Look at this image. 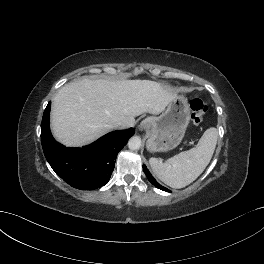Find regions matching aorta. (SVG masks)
I'll list each match as a JSON object with an SVG mask.
<instances>
[{
  "label": "aorta",
  "mask_w": 264,
  "mask_h": 264,
  "mask_svg": "<svg viewBox=\"0 0 264 264\" xmlns=\"http://www.w3.org/2000/svg\"><path fill=\"white\" fill-rule=\"evenodd\" d=\"M128 147L131 150H138L141 147V138L139 136H133L128 141Z\"/></svg>",
  "instance_id": "aorta-1"
}]
</instances>
